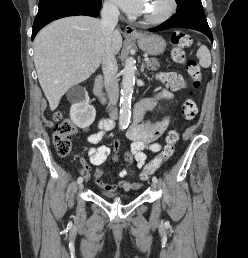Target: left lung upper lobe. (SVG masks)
Returning <instances> with one entry per match:
<instances>
[{
  "label": "left lung upper lobe",
  "mask_w": 248,
  "mask_h": 258,
  "mask_svg": "<svg viewBox=\"0 0 248 258\" xmlns=\"http://www.w3.org/2000/svg\"><path fill=\"white\" fill-rule=\"evenodd\" d=\"M177 13H188L193 10L203 9L201 0H176Z\"/></svg>",
  "instance_id": "left-lung-upper-lobe-1"
}]
</instances>
